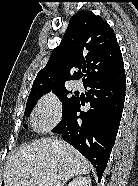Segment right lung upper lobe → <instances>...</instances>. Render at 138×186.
<instances>
[{"label":"right lung upper lobe","mask_w":138,"mask_h":186,"mask_svg":"<svg viewBox=\"0 0 138 186\" xmlns=\"http://www.w3.org/2000/svg\"><path fill=\"white\" fill-rule=\"evenodd\" d=\"M75 68L79 71L73 73ZM82 76L84 84L109 82L125 76L113 29L91 11H79L70 18L60 45L38 72L31 93L63 87L67 80Z\"/></svg>","instance_id":"cb5924a9"}]
</instances>
